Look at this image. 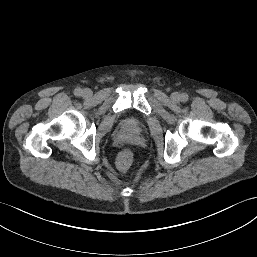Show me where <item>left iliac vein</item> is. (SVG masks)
<instances>
[{"mask_svg":"<svg viewBox=\"0 0 257 257\" xmlns=\"http://www.w3.org/2000/svg\"><path fill=\"white\" fill-rule=\"evenodd\" d=\"M171 100H172L173 102L179 101V100H180V94L177 93V92L172 93V94H171Z\"/></svg>","mask_w":257,"mask_h":257,"instance_id":"1","label":"left iliac vein"}]
</instances>
